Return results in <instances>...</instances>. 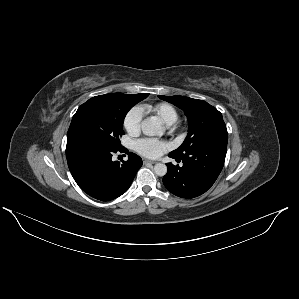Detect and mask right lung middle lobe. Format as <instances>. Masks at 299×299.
<instances>
[{"label":"right lung middle lobe","mask_w":299,"mask_h":299,"mask_svg":"<svg viewBox=\"0 0 299 299\" xmlns=\"http://www.w3.org/2000/svg\"><path fill=\"white\" fill-rule=\"evenodd\" d=\"M142 99L117 93L104 100H88L78 108L72 118L67 144L91 141L120 148L124 118Z\"/></svg>","instance_id":"right-lung-middle-lobe-1"}]
</instances>
